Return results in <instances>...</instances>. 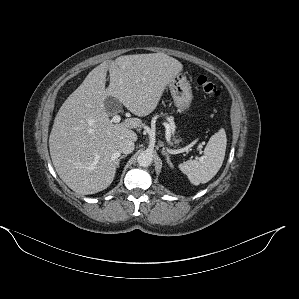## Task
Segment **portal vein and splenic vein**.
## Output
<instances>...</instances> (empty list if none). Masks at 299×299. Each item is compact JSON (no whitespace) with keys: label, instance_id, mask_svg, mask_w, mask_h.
<instances>
[{"label":"portal vein and splenic vein","instance_id":"1","mask_svg":"<svg viewBox=\"0 0 299 299\" xmlns=\"http://www.w3.org/2000/svg\"><path fill=\"white\" fill-rule=\"evenodd\" d=\"M121 120V117L119 115H114L111 119L112 122L114 123H119ZM166 129H167V134L168 136H170V126L166 125Z\"/></svg>","mask_w":299,"mask_h":299}]
</instances>
